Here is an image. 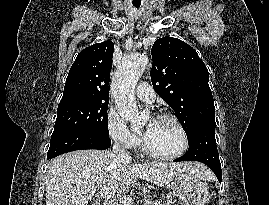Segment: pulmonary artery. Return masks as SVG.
<instances>
[{
	"mask_svg": "<svg viewBox=\"0 0 269 205\" xmlns=\"http://www.w3.org/2000/svg\"><path fill=\"white\" fill-rule=\"evenodd\" d=\"M137 97L146 103H151L155 99V91L153 88L146 82L139 84L136 90Z\"/></svg>",
	"mask_w": 269,
	"mask_h": 205,
	"instance_id": "1",
	"label": "pulmonary artery"
}]
</instances>
